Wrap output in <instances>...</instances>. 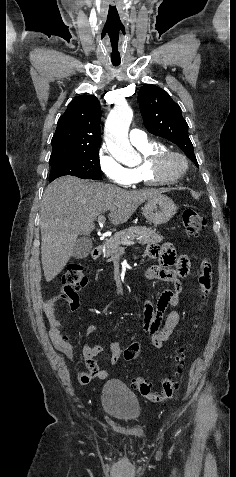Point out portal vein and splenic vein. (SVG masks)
Wrapping results in <instances>:
<instances>
[{"mask_svg": "<svg viewBox=\"0 0 236 477\" xmlns=\"http://www.w3.org/2000/svg\"><path fill=\"white\" fill-rule=\"evenodd\" d=\"M105 222V217L104 216H99L98 217V223L100 225H103V223ZM122 245H126V246H131V245H134L135 243L133 241H130V240H125V241H122L121 242Z\"/></svg>", "mask_w": 236, "mask_h": 477, "instance_id": "portal-vein-and-splenic-vein-1", "label": "portal vein and splenic vein"}]
</instances>
